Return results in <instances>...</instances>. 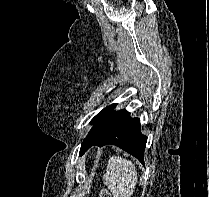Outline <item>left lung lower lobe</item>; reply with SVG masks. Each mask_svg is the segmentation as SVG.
<instances>
[{
  "label": "left lung lower lobe",
  "instance_id": "0a47b994",
  "mask_svg": "<svg viewBox=\"0 0 209 197\" xmlns=\"http://www.w3.org/2000/svg\"><path fill=\"white\" fill-rule=\"evenodd\" d=\"M117 104L108 106L93 122V127L82 142L80 155L91 146L102 147L107 144L119 148L136 157L144 164V150L147 137L141 134L139 118H131L125 109L113 112Z\"/></svg>",
  "mask_w": 209,
  "mask_h": 197
}]
</instances>
